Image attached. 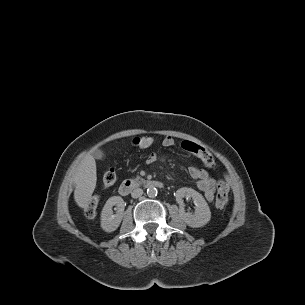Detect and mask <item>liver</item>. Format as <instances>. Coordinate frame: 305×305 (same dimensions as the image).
<instances>
[{
	"label": "liver",
	"mask_w": 305,
	"mask_h": 305,
	"mask_svg": "<svg viewBox=\"0 0 305 305\" xmlns=\"http://www.w3.org/2000/svg\"><path fill=\"white\" fill-rule=\"evenodd\" d=\"M96 162L92 155L86 154L80 161L75 175L74 200L80 208H85L94 192L97 182Z\"/></svg>",
	"instance_id": "liver-1"
}]
</instances>
